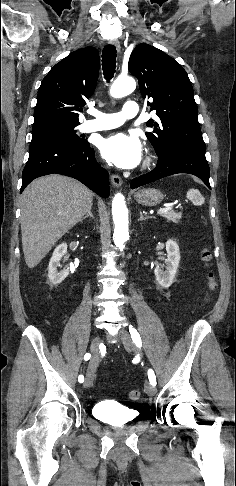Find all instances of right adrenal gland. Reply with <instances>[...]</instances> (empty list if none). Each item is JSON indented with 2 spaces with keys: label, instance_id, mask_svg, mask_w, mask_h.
Wrapping results in <instances>:
<instances>
[{
  "label": "right adrenal gland",
  "instance_id": "right-adrenal-gland-1",
  "mask_svg": "<svg viewBox=\"0 0 236 486\" xmlns=\"http://www.w3.org/2000/svg\"><path fill=\"white\" fill-rule=\"evenodd\" d=\"M92 207V206H91ZM91 207L88 209V212L87 214L81 219V221H83L84 219L88 218V217H91L92 219L94 218L92 212H91Z\"/></svg>",
  "mask_w": 236,
  "mask_h": 486
}]
</instances>
